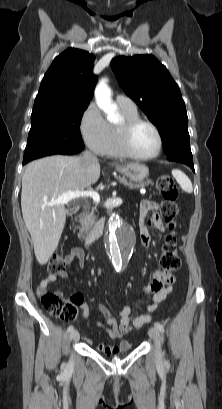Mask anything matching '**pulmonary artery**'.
<instances>
[{
    "instance_id": "1",
    "label": "pulmonary artery",
    "mask_w": 222,
    "mask_h": 409,
    "mask_svg": "<svg viewBox=\"0 0 222 409\" xmlns=\"http://www.w3.org/2000/svg\"><path fill=\"white\" fill-rule=\"evenodd\" d=\"M116 102L122 108L130 110L136 109V104L134 103V101L125 95L122 94L117 95Z\"/></svg>"
}]
</instances>
